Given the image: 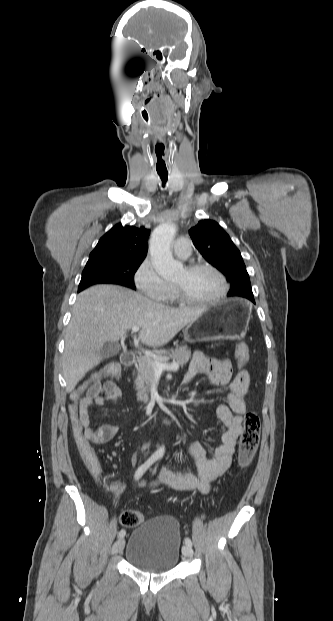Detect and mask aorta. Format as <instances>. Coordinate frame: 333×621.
<instances>
[{
    "instance_id": "762f6f07",
    "label": "aorta",
    "mask_w": 333,
    "mask_h": 621,
    "mask_svg": "<svg viewBox=\"0 0 333 621\" xmlns=\"http://www.w3.org/2000/svg\"><path fill=\"white\" fill-rule=\"evenodd\" d=\"M176 225L164 222L155 228L150 239V254L158 274L164 279L173 278L183 272L182 263L175 261L171 252V243L176 235ZM165 446L162 445L156 454L162 457Z\"/></svg>"
}]
</instances>
